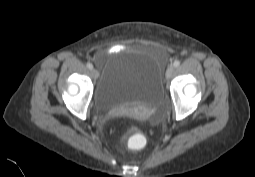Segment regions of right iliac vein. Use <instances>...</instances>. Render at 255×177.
<instances>
[{
  "label": "right iliac vein",
  "mask_w": 255,
  "mask_h": 177,
  "mask_svg": "<svg viewBox=\"0 0 255 177\" xmlns=\"http://www.w3.org/2000/svg\"><path fill=\"white\" fill-rule=\"evenodd\" d=\"M91 75L94 79H97L99 77V72L96 69L92 68Z\"/></svg>",
  "instance_id": "right-iliac-vein-1"
}]
</instances>
